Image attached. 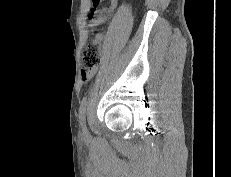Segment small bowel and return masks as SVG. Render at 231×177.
I'll return each instance as SVG.
<instances>
[{"label":"small bowel","mask_w":231,"mask_h":177,"mask_svg":"<svg viewBox=\"0 0 231 177\" xmlns=\"http://www.w3.org/2000/svg\"><path fill=\"white\" fill-rule=\"evenodd\" d=\"M111 4L108 8L106 9H101L100 8V3L101 0H92V9L90 11V16H89V25L90 27H96L103 23L107 15L117 6L118 0H110ZM98 39H101L100 36H97ZM94 70L91 71H83L82 72V80L84 82L88 81L93 75H94Z\"/></svg>","instance_id":"1"}]
</instances>
